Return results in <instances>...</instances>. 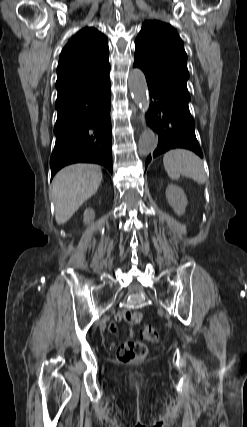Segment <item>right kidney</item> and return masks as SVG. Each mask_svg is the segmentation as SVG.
Returning <instances> with one entry per match:
<instances>
[{"mask_svg": "<svg viewBox=\"0 0 247 427\" xmlns=\"http://www.w3.org/2000/svg\"><path fill=\"white\" fill-rule=\"evenodd\" d=\"M95 218V212L92 208H87L83 214V221L86 225H89Z\"/></svg>", "mask_w": 247, "mask_h": 427, "instance_id": "ca27d5eb", "label": "right kidney"}]
</instances>
